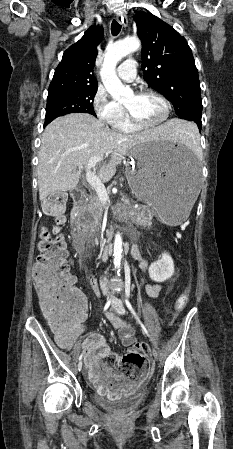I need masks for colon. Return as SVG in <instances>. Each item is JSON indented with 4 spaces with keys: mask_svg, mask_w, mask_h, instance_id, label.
<instances>
[{
    "mask_svg": "<svg viewBox=\"0 0 233 449\" xmlns=\"http://www.w3.org/2000/svg\"><path fill=\"white\" fill-rule=\"evenodd\" d=\"M67 198L65 195H55L44 203L46 215L54 218L60 224L64 220L63 211ZM41 254L33 270V279L39 291L40 302L45 316L55 328H61V323H67L68 329H81L84 318L85 298L74 284V279L66 265L67 252L60 238H51L50 232H43L40 242ZM189 292L184 291L176 300L175 311L184 309L188 302ZM149 347L144 342L136 344L135 350L125 354L120 367L128 375H135L136 368H146V355Z\"/></svg>",
    "mask_w": 233,
    "mask_h": 449,
    "instance_id": "1",
    "label": "colon"
}]
</instances>
